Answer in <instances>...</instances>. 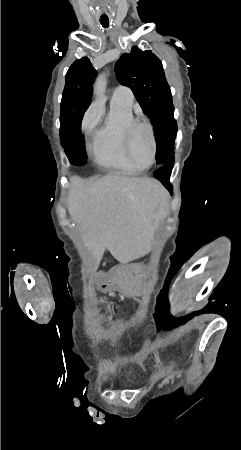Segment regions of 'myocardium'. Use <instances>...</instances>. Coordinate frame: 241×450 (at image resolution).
Masks as SVG:
<instances>
[{
	"label": "myocardium",
	"mask_w": 241,
	"mask_h": 450,
	"mask_svg": "<svg viewBox=\"0 0 241 450\" xmlns=\"http://www.w3.org/2000/svg\"><path fill=\"white\" fill-rule=\"evenodd\" d=\"M141 116H136V118H132L128 121H126L123 126H122V133L124 136H122L120 138V141L122 143H124V148H123V153H127V158L126 161L127 162H133V158H135V156L133 155V152H131V148H129V145H132L133 140H136L134 137L138 135V130L133 128V127H137L139 124V121H141ZM143 125V124H142ZM145 125V124H144ZM156 125V124H154ZM148 127H153V122H148ZM147 135H149L150 137H147L146 140H144V144L147 145V148L151 150V157H152V162H157V152H156V148H155V141H154V137H155V131L154 130H147ZM133 151V150H132Z\"/></svg>",
	"instance_id": "obj_1"
}]
</instances>
